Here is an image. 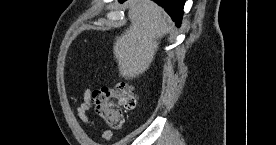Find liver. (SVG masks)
Masks as SVG:
<instances>
[{"mask_svg": "<svg viewBox=\"0 0 276 145\" xmlns=\"http://www.w3.org/2000/svg\"><path fill=\"white\" fill-rule=\"evenodd\" d=\"M129 28L116 37L113 54L120 76L133 79L151 65L158 50L159 39L170 31L171 20L165 11L150 0L128 2Z\"/></svg>", "mask_w": 276, "mask_h": 145, "instance_id": "1", "label": "liver"}]
</instances>
